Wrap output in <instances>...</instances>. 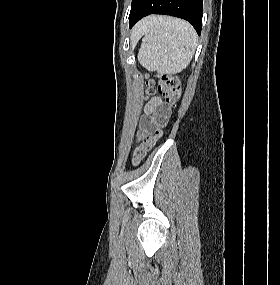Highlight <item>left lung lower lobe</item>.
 I'll return each mask as SVG.
<instances>
[{"mask_svg": "<svg viewBox=\"0 0 280 285\" xmlns=\"http://www.w3.org/2000/svg\"><path fill=\"white\" fill-rule=\"evenodd\" d=\"M149 14H165L189 21L201 34L202 0H136L129 15L130 28Z\"/></svg>", "mask_w": 280, "mask_h": 285, "instance_id": "0a47b994", "label": "left lung lower lobe"}]
</instances>
